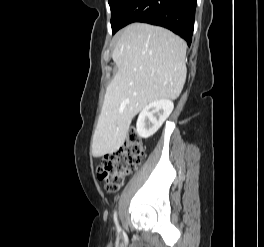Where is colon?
<instances>
[{"label": "colon", "mask_w": 264, "mask_h": 247, "mask_svg": "<svg viewBox=\"0 0 264 247\" xmlns=\"http://www.w3.org/2000/svg\"><path fill=\"white\" fill-rule=\"evenodd\" d=\"M145 155V145L130 132L124 144L107 154L97 167V176L105 182V190L108 193L119 191L125 178L138 168Z\"/></svg>", "instance_id": "5ec220e1"}]
</instances>
